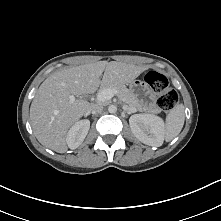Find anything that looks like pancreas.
<instances>
[{
  "label": "pancreas",
  "instance_id": "cf45deb5",
  "mask_svg": "<svg viewBox=\"0 0 221 221\" xmlns=\"http://www.w3.org/2000/svg\"><path fill=\"white\" fill-rule=\"evenodd\" d=\"M105 89H113L116 91V94L118 97L129 105L130 108H138L139 110H146L145 106H142L138 99L130 92L129 89L126 88V86L122 84H110V85H102L100 91ZM153 113H159L160 109L153 108L149 110Z\"/></svg>",
  "mask_w": 221,
  "mask_h": 221
}]
</instances>
